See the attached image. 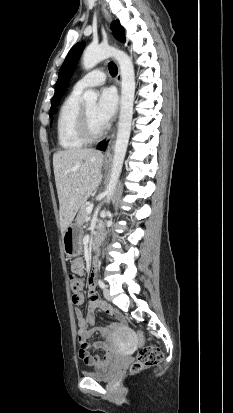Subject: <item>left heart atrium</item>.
<instances>
[{"instance_id":"39dd6f15","label":"left heart atrium","mask_w":233,"mask_h":413,"mask_svg":"<svg viewBox=\"0 0 233 413\" xmlns=\"http://www.w3.org/2000/svg\"><path fill=\"white\" fill-rule=\"evenodd\" d=\"M118 98L112 88H104L99 97L96 108V117L104 127L115 115L117 110Z\"/></svg>"}]
</instances>
